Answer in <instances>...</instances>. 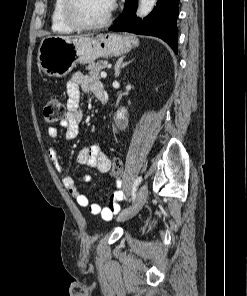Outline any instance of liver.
Masks as SVG:
<instances>
[{
  "mask_svg": "<svg viewBox=\"0 0 247 296\" xmlns=\"http://www.w3.org/2000/svg\"><path fill=\"white\" fill-rule=\"evenodd\" d=\"M61 38H63V39H71V37H69V36H61Z\"/></svg>",
  "mask_w": 247,
  "mask_h": 296,
  "instance_id": "liver-1",
  "label": "liver"
}]
</instances>
